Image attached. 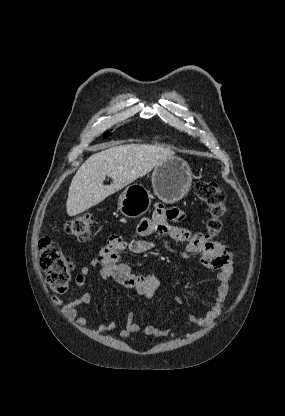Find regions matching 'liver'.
I'll use <instances>...</instances> for the list:
<instances>
[{"label":"liver","instance_id":"1","mask_svg":"<svg viewBox=\"0 0 285 416\" xmlns=\"http://www.w3.org/2000/svg\"><path fill=\"white\" fill-rule=\"evenodd\" d=\"M91 150L92 152L103 150V152L90 156L76 172L66 202L68 216H77L92 206H97L107 196L119 192L138 178H143L157 164L167 158H173L175 154L162 146H148V144L117 146L115 142L98 144L92 146ZM106 176L113 180L110 186H103Z\"/></svg>","mask_w":285,"mask_h":416}]
</instances>
